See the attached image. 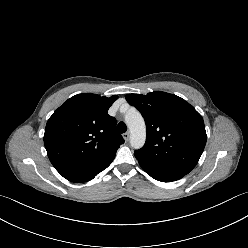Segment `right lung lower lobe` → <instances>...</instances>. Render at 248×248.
<instances>
[{"label":"right lung lower lobe","mask_w":248,"mask_h":248,"mask_svg":"<svg viewBox=\"0 0 248 248\" xmlns=\"http://www.w3.org/2000/svg\"><path fill=\"white\" fill-rule=\"evenodd\" d=\"M115 155L97 164L86 167H56V170L67 180L81 183L92 180L98 173L106 169L113 161Z\"/></svg>","instance_id":"1"}]
</instances>
